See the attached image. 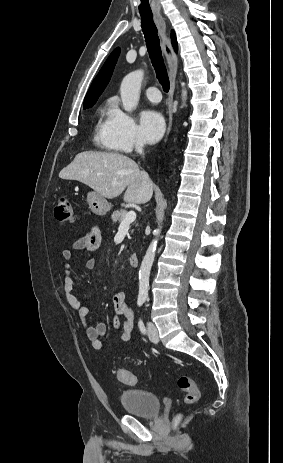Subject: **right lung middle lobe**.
Masks as SVG:
<instances>
[{
    "label": "right lung middle lobe",
    "instance_id": "right-lung-middle-lobe-1",
    "mask_svg": "<svg viewBox=\"0 0 283 463\" xmlns=\"http://www.w3.org/2000/svg\"><path fill=\"white\" fill-rule=\"evenodd\" d=\"M91 106H93V104H92V105H85V106H84V109L89 108V107H91Z\"/></svg>",
    "mask_w": 283,
    "mask_h": 463
}]
</instances>
